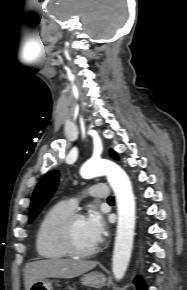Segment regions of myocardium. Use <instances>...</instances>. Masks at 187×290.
I'll return each mask as SVG.
<instances>
[{
	"mask_svg": "<svg viewBox=\"0 0 187 290\" xmlns=\"http://www.w3.org/2000/svg\"><path fill=\"white\" fill-rule=\"evenodd\" d=\"M85 218L79 211H72L66 215L57 226V238L63 250L72 257L86 258L94 255L99 246L96 245L90 249L83 250L77 247L73 237V227L77 220Z\"/></svg>",
	"mask_w": 187,
	"mask_h": 290,
	"instance_id": "1",
	"label": "myocardium"
}]
</instances>
